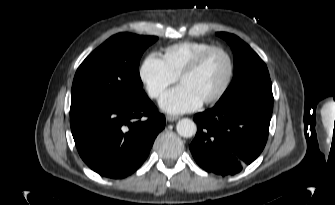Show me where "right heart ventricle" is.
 Returning <instances> with one entry per match:
<instances>
[{
	"instance_id": "right-heart-ventricle-1",
	"label": "right heart ventricle",
	"mask_w": 335,
	"mask_h": 205,
	"mask_svg": "<svg viewBox=\"0 0 335 205\" xmlns=\"http://www.w3.org/2000/svg\"><path fill=\"white\" fill-rule=\"evenodd\" d=\"M211 46L200 41L178 42L163 50L162 59L169 70L178 77L197 55Z\"/></svg>"
}]
</instances>
